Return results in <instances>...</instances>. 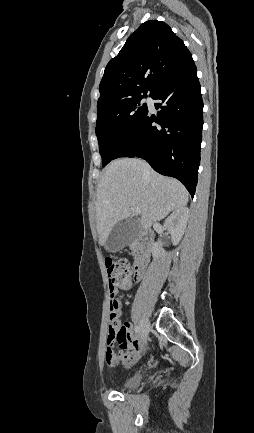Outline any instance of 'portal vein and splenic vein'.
I'll return each instance as SVG.
<instances>
[{
  "label": "portal vein and splenic vein",
  "mask_w": 254,
  "mask_h": 433,
  "mask_svg": "<svg viewBox=\"0 0 254 433\" xmlns=\"http://www.w3.org/2000/svg\"><path fill=\"white\" fill-rule=\"evenodd\" d=\"M134 211H135L136 213H140V212H141L140 208H138V207H135V208H134Z\"/></svg>",
  "instance_id": "18ae733b"
}]
</instances>
